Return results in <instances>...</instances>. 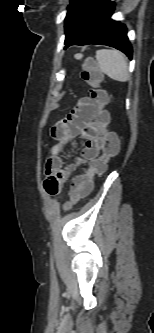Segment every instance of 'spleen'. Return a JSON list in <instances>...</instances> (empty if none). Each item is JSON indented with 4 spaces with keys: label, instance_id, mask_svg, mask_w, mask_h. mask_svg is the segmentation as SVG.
Instances as JSON below:
<instances>
[{
    "label": "spleen",
    "instance_id": "3e777b00",
    "mask_svg": "<svg viewBox=\"0 0 154 333\" xmlns=\"http://www.w3.org/2000/svg\"><path fill=\"white\" fill-rule=\"evenodd\" d=\"M100 70L113 80L126 82L129 79L128 65L123 53L117 50L101 49L96 52Z\"/></svg>",
    "mask_w": 154,
    "mask_h": 333
}]
</instances>
